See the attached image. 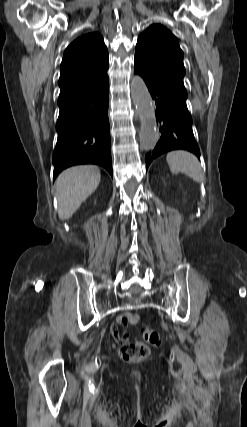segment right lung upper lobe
<instances>
[{
    "instance_id": "cb5924a9",
    "label": "right lung upper lobe",
    "mask_w": 247,
    "mask_h": 427,
    "mask_svg": "<svg viewBox=\"0 0 247 427\" xmlns=\"http://www.w3.org/2000/svg\"><path fill=\"white\" fill-rule=\"evenodd\" d=\"M108 51L99 33L78 37L65 50L60 68V94L98 81L107 75Z\"/></svg>"
}]
</instances>
